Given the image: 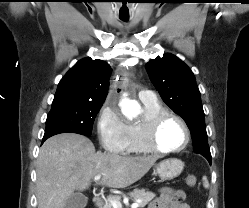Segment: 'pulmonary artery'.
<instances>
[{
  "instance_id": "obj_1",
  "label": "pulmonary artery",
  "mask_w": 249,
  "mask_h": 208,
  "mask_svg": "<svg viewBox=\"0 0 249 208\" xmlns=\"http://www.w3.org/2000/svg\"><path fill=\"white\" fill-rule=\"evenodd\" d=\"M139 99L143 103H156V97L151 91H140L139 92Z\"/></svg>"
}]
</instances>
